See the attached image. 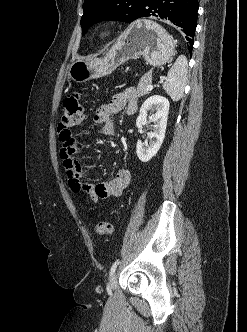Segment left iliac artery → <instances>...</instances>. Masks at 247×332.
<instances>
[{
	"label": "left iliac artery",
	"instance_id": "obj_1",
	"mask_svg": "<svg viewBox=\"0 0 247 332\" xmlns=\"http://www.w3.org/2000/svg\"><path fill=\"white\" fill-rule=\"evenodd\" d=\"M117 265H118V260H116L114 263H113V265H112V267H111V269H110V277L114 274V272H115V270H116V268H117Z\"/></svg>",
	"mask_w": 247,
	"mask_h": 332
}]
</instances>
